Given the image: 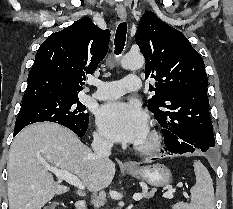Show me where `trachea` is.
<instances>
[{"mask_svg":"<svg viewBox=\"0 0 233 209\" xmlns=\"http://www.w3.org/2000/svg\"><path fill=\"white\" fill-rule=\"evenodd\" d=\"M126 33H127V25L125 22H122L117 27L115 40H114L115 54L117 55H119L123 51L126 40Z\"/></svg>","mask_w":233,"mask_h":209,"instance_id":"trachea-1","label":"trachea"}]
</instances>
